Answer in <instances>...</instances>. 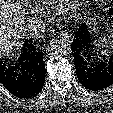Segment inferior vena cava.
Listing matches in <instances>:
<instances>
[{
	"label": "inferior vena cava",
	"instance_id": "obj_1",
	"mask_svg": "<svg viewBox=\"0 0 113 113\" xmlns=\"http://www.w3.org/2000/svg\"><path fill=\"white\" fill-rule=\"evenodd\" d=\"M31 36H39L45 29V22L37 17L32 18L27 26Z\"/></svg>",
	"mask_w": 113,
	"mask_h": 113
}]
</instances>
